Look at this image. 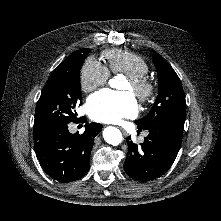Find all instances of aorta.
I'll return each instance as SVG.
<instances>
[{"label": "aorta", "mask_w": 221, "mask_h": 221, "mask_svg": "<svg viewBox=\"0 0 221 221\" xmlns=\"http://www.w3.org/2000/svg\"><path fill=\"white\" fill-rule=\"evenodd\" d=\"M115 82L116 80L112 79L110 80L109 83L111 86H114ZM103 137L107 143L114 145V146L119 145L123 140L122 133L116 127L105 128L103 131Z\"/></svg>", "instance_id": "obj_1"}]
</instances>
